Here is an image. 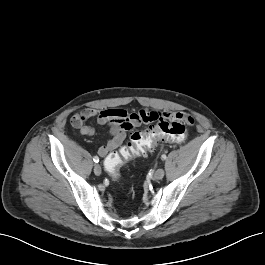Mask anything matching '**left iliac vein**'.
<instances>
[{"mask_svg":"<svg viewBox=\"0 0 265 265\" xmlns=\"http://www.w3.org/2000/svg\"><path fill=\"white\" fill-rule=\"evenodd\" d=\"M164 174H165L164 170L162 168H159L155 171L154 177L159 180L164 177Z\"/></svg>","mask_w":265,"mask_h":265,"instance_id":"1","label":"left iliac vein"}]
</instances>
